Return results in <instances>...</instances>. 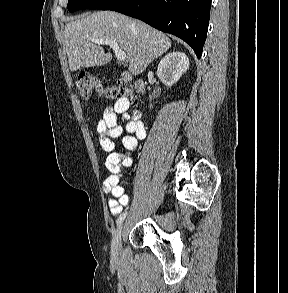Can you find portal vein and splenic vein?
Returning a JSON list of instances; mask_svg holds the SVG:
<instances>
[{
	"label": "portal vein and splenic vein",
	"mask_w": 288,
	"mask_h": 293,
	"mask_svg": "<svg viewBox=\"0 0 288 293\" xmlns=\"http://www.w3.org/2000/svg\"><path fill=\"white\" fill-rule=\"evenodd\" d=\"M89 40L98 45H104V44L109 45L115 52V55L118 61L126 60L127 58L126 53L119 48V45L115 41L111 39H104V38L102 39L89 38Z\"/></svg>",
	"instance_id": "obj_1"
}]
</instances>
